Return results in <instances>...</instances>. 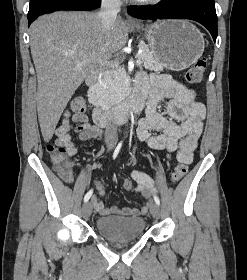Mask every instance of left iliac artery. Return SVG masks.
I'll return each mask as SVG.
<instances>
[{
  "label": "left iliac artery",
  "instance_id": "44dca946",
  "mask_svg": "<svg viewBox=\"0 0 247 280\" xmlns=\"http://www.w3.org/2000/svg\"><path fill=\"white\" fill-rule=\"evenodd\" d=\"M154 200H155L157 205H160V200L156 195H154Z\"/></svg>",
  "mask_w": 247,
  "mask_h": 280
}]
</instances>
